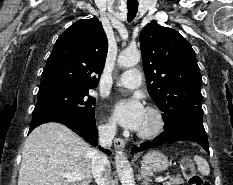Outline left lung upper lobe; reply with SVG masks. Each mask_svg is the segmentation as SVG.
Masks as SVG:
<instances>
[{"label": "left lung upper lobe", "instance_id": "left-lung-upper-lobe-1", "mask_svg": "<svg viewBox=\"0 0 233 185\" xmlns=\"http://www.w3.org/2000/svg\"><path fill=\"white\" fill-rule=\"evenodd\" d=\"M139 39L148 92L163 112L167 128L202 104L195 52L177 31L156 21L142 29Z\"/></svg>", "mask_w": 233, "mask_h": 185}]
</instances>
